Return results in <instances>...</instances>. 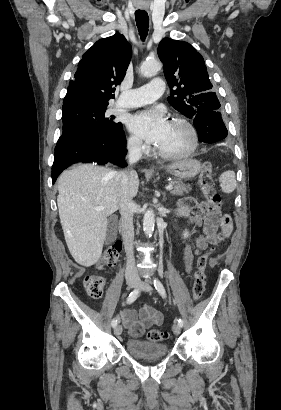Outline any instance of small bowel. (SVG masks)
<instances>
[{"instance_id":"small-bowel-1","label":"small bowel","mask_w":281,"mask_h":410,"mask_svg":"<svg viewBox=\"0 0 281 410\" xmlns=\"http://www.w3.org/2000/svg\"><path fill=\"white\" fill-rule=\"evenodd\" d=\"M198 205L195 199L188 197L179 201L175 209L178 216L188 217L189 225L201 229V232L195 237L194 245L186 246L183 252V262L187 272L192 270L194 257L206 250L208 245L215 239L216 231L220 226L225 236L230 235L232 232V223L225 224L224 219L218 214L197 213L189 216L190 212L196 211ZM120 318L130 335L138 337L143 334L145 328L160 325L163 322L164 315L150 305H143L139 309V316L133 309L126 308L120 312Z\"/></svg>"}]
</instances>
